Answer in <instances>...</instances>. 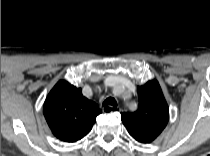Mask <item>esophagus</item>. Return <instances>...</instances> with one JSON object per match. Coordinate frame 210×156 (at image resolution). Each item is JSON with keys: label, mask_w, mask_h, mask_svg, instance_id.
I'll return each mask as SVG.
<instances>
[{"label": "esophagus", "mask_w": 210, "mask_h": 156, "mask_svg": "<svg viewBox=\"0 0 210 156\" xmlns=\"http://www.w3.org/2000/svg\"><path fill=\"white\" fill-rule=\"evenodd\" d=\"M112 106H105V107H103V111L105 112V113H109V112H112Z\"/></svg>", "instance_id": "obj_1"}]
</instances>
